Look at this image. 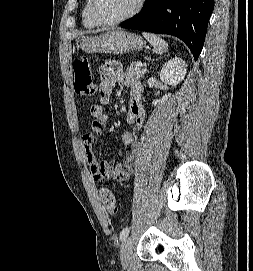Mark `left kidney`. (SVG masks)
I'll use <instances>...</instances> for the list:
<instances>
[{"mask_svg": "<svg viewBox=\"0 0 253 271\" xmlns=\"http://www.w3.org/2000/svg\"><path fill=\"white\" fill-rule=\"evenodd\" d=\"M186 72L187 64L185 61L175 57L164 64L160 72V79L165 84L176 86L184 79ZM170 96L171 94H165L162 98L154 100L152 105L164 104Z\"/></svg>", "mask_w": 253, "mask_h": 271, "instance_id": "1", "label": "left kidney"}]
</instances>
